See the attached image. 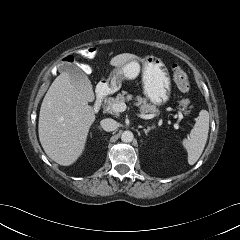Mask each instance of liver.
<instances>
[{
	"instance_id": "liver-1",
	"label": "liver",
	"mask_w": 240,
	"mask_h": 240,
	"mask_svg": "<svg viewBox=\"0 0 240 240\" xmlns=\"http://www.w3.org/2000/svg\"><path fill=\"white\" fill-rule=\"evenodd\" d=\"M138 59L134 54L123 53L113 57L111 66L120 67ZM87 97L62 72L49 87L40 108L38 133L40 143L50 159L69 166L84 151L89 129L95 113Z\"/></svg>"
}]
</instances>
